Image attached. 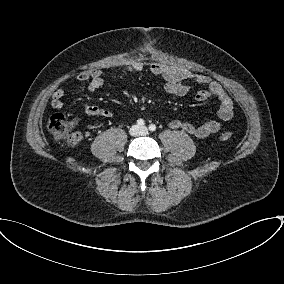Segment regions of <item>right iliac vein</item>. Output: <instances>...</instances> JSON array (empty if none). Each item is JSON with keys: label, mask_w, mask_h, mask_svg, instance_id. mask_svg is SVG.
<instances>
[{"label": "right iliac vein", "mask_w": 284, "mask_h": 284, "mask_svg": "<svg viewBox=\"0 0 284 284\" xmlns=\"http://www.w3.org/2000/svg\"><path fill=\"white\" fill-rule=\"evenodd\" d=\"M139 131H140V128H139L137 125L132 126L131 129H130V132H131L133 135L138 134Z\"/></svg>", "instance_id": "1"}]
</instances>
